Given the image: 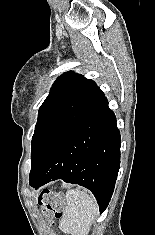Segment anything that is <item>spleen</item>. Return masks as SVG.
I'll return each instance as SVG.
<instances>
[{
	"mask_svg": "<svg viewBox=\"0 0 155 235\" xmlns=\"http://www.w3.org/2000/svg\"><path fill=\"white\" fill-rule=\"evenodd\" d=\"M67 206L63 211L60 228L73 235H88L99 208L95 198L85 191L68 190Z\"/></svg>",
	"mask_w": 155,
	"mask_h": 235,
	"instance_id": "1",
	"label": "spleen"
}]
</instances>
